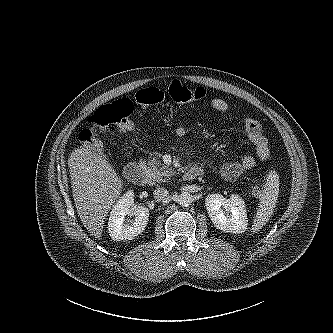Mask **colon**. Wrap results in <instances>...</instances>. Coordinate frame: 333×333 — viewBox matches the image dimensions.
Wrapping results in <instances>:
<instances>
[{
    "instance_id": "5ec220e1",
    "label": "colon",
    "mask_w": 333,
    "mask_h": 333,
    "mask_svg": "<svg viewBox=\"0 0 333 333\" xmlns=\"http://www.w3.org/2000/svg\"><path fill=\"white\" fill-rule=\"evenodd\" d=\"M206 92L200 87H187L179 81H173L167 90V97L176 104H186L203 99ZM166 94L160 89L149 87L136 94V103L141 107H148L162 103ZM134 103L127 98L119 99L98 108L89 118V125L80 133V140L93 149L100 147V133L111 129L127 132L133 129L134 122L131 118L134 112ZM253 194L263 192L262 186L251 187Z\"/></svg>"
}]
</instances>
